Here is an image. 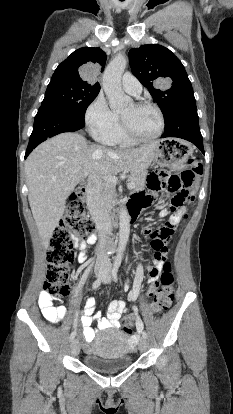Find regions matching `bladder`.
Returning a JSON list of instances; mask_svg holds the SVG:
<instances>
[{
  "label": "bladder",
  "mask_w": 233,
  "mask_h": 414,
  "mask_svg": "<svg viewBox=\"0 0 233 414\" xmlns=\"http://www.w3.org/2000/svg\"><path fill=\"white\" fill-rule=\"evenodd\" d=\"M83 362L87 368L102 373L128 368L132 364V357L127 335L117 328L99 333Z\"/></svg>",
  "instance_id": "bladder-1"
}]
</instances>
